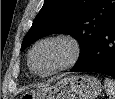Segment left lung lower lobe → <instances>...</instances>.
<instances>
[{"label":"left lung lower lobe","instance_id":"0a47b994","mask_svg":"<svg viewBox=\"0 0 115 99\" xmlns=\"http://www.w3.org/2000/svg\"><path fill=\"white\" fill-rule=\"evenodd\" d=\"M71 71L97 72L115 78V20L89 54Z\"/></svg>","mask_w":115,"mask_h":99}]
</instances>
